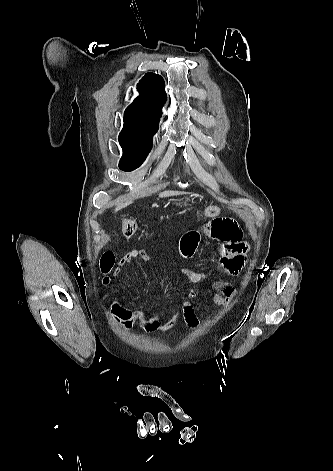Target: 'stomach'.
Segmentation results:
<instances>
[{"instance_id": "stomach-1", "label": "stomach", "mask_w": 333, "mask_h": 471, "mask_svg": "<svg viewBox=\"0 0 333 471\" xmlns=\"http://www.w3.org/2000/svg\"><path fill=\"white\" fill-rule=\"evenodd\" d=\"M179 204H184L186 205L187 204V201H183V200H178Z\"/></svg>"}]
</instances>
